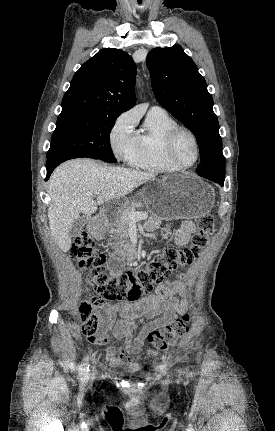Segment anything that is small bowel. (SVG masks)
<instances>
[{"label": "small bowel", "mask_w": 275, "mask_h": 431, "mask_svg": "<svg viewBox=\"0 0 275 431\" xmlns=\"http://www.w3.org/2000/svg\"><path fill=\"white\" fill-rule=\"evenodd\" d=\"M157 227L158 222L155 219H150L146 223L149 231ZM194 231V223L186 220L172 230L171 240L177 246H185ZM109 266L112 274H119L122 264L118 253L111 256ZM178 293H184L182 282L179 279L167 280L157 286L154 294L138 301L106 304L101 311L103 318L101 328L97 335L88 338V341L107 345L111 342L112 336L122 340L123 345L118 349L109 347L106 350L107 359L114 363L123 361L127 355L140 354L151 331L172 323L185 312L187 302L185 299L177 298Z\"/></svg>", "instance_id": "obj_1"}]
</instances>
